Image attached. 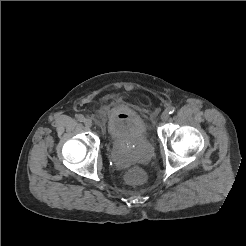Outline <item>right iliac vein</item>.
I'll list each match as a JSON object with an SVG mask.
<instances>
[{
    "mask_svg": "<svg viewBox=\"0 0 246 246\" xmlns=\"http://www.w3.org/2000/svg\"><path fill=\"white\" fill-rule=\"evenodd\" d=\"M83 122H84V125H85L86 127H91L92 124H93V122H92V120H91L90 118L84 119Z\"/></svg>",
    "mask_w": 246,
    "mask_h": 246,
    "instance_id": "63e3f726",
    "label": "right iliac vein"
}]
</instances>
